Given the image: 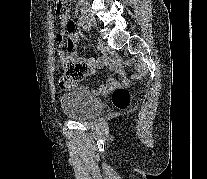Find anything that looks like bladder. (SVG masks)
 Returning <instances> with one entry per match:
<instances>
[{
	"mask_svg": "<svg viewBox=\"0 0 207 179\" xmlns=\"http://www.w3.org/2000/svg\"><path fill=\"white\" fill-rule=\"evenodd\" d=\"M62 112L75 120L91 119L103 112L104 105L87 85H82L60 96Z\"/></svg>",
	"mask_w": 207,
	"mask_h": 179,
	"instance_id": "1",
	"label": "bladder"
}]
</instances>
